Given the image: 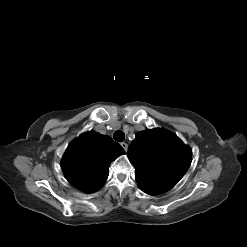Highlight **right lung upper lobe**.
Returning <instances> with one entry per match:
<instances>
[{
	"label": "right lung upper lobe",
	"mask_w": 247,
	"mask_h": 247,
	"mask_svg": "<svg viewBox=\"0 0 247 247\" xmlns=\"http://www.w3.org/2000/svg\"><path fill=\"white\" fill-rule=\"evenodd\" d=\"M124 149L109 136L90 131L71 142L61 161L67 180L84 192L103 186L109 165Z\"/></svg>",
	"instance_id": "right-lung-upper-lobe-1"
}]
</instances>
